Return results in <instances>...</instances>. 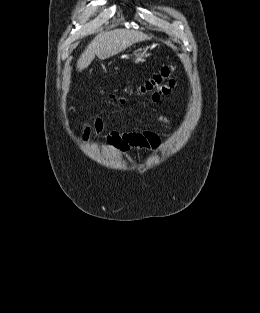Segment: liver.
<instances>
[{
    "instance_id": "liver-1",
    "label": "liver",
    "mask_w": 260,
    "mask_h": 313,
    "mask_svg": "<svg viewBox=\"0 0 260 313\" xmlns=\"http://www.w3.org/2000/svg\"><path fill=\"white\" fill-rule=\"evenodd\" d=\"M150 37L143 32L127 29H115L99 33L86 47L77 61L78 71L87 68L95 55L107 59L124 50L134 43L148 40Z\"/></svg>"
}]
</instances>
